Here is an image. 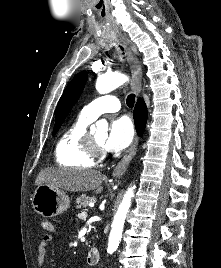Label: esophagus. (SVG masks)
Returning a JSON list of instances; mask_svg holds the SVG:
<instances>
[{
	"label": "esophagus",
	"mask_w": 221,
	"mask_h": 268,
	"mask_svg": "<svg viewBox=\"0 0 221 268\" xmlns=\"http://www.w3.org/2000/svg\"><path fill=\"white\" fill-rule=\"evenodd\" d=\"M120 38L125 45L127 56H128V62H129L131 73H132V84H131L132 90L134 91L136 96H139L141 92L142 71H141V67L139 63L137 62L135 58L136 47L132 43V41L126 36L122 35ZM137 145H138V137L134 139L131 147L128 149L124 157L115 166L113 173H112L113 177L118 178L125 173L126 169L129 166L130 161L136 154Z\"/></svg>",
	"instance_id": "1"
}]
</instances>
